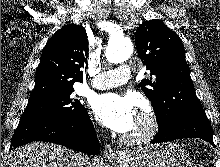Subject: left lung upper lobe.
I'll list each match as a JSON object with an SVG mask.
<instances>
[{
	"mask_svg": "<svg viewBox=\"0 0 220 167\" xmlns=\"http://www.w3.org/2000/svg\"><path fill=\"white\" fill-rule=\"evenodd\" d=\"M135 42L138 56L152 76L142 80L139 87L151 101L159 127L203 111L180 37L162 21L153 19L137 28Z\"/></svg>",
	"mask_w": 220,
	"mask_h": 167,
	"instance_id": "left-lung-upper-lobe-1",
	"label": "left lung upper lobe"
}]
</instances>
